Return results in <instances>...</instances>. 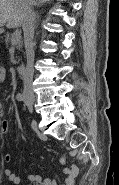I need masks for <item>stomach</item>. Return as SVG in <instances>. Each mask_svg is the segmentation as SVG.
<instances>
[{"label": "stomach", "instance_id": "1", "mask_svg": "<svg viewBox=\"0 0 119 185\" xmlns=\"http://www.w3.org/2000/svg\"><path fill=\"white\" fill-rule=\"evenodd\" d=\"M3 32L2 28L0 27V34Z\"/></svg>", "mask_w": 119, "mask_h": 185}]
</instances>
